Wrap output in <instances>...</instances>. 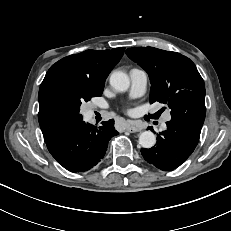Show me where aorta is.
<instances>
[{
    "label": "aorta",
    "instance_id": "762f6f07",
    "mask_svg": "<svg viewBox=\"0 0 231 231\" xmlns=\"http://www.w3.org/2000/svg\"><path fill=\"white\" fill-rule=\"evenodd\" d=\"M110 85L119 92L127 91L130 86L128 75L122 71H114L110 76ZM156 143V136L151 131H144L139 136V144L146 149L152 148Z\"/></svg>",
    "mask_w": 231,
    "mask_h": 231
}]
</instances>
